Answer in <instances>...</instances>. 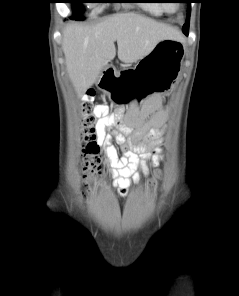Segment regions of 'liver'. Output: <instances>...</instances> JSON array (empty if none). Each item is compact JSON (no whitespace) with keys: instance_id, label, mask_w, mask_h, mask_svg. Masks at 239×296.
<instances>
[{"instance_id":"obj_1","label":"liver","mask_w":239,"mask_h":296,"mask_svg":"<svg viewBox=\"0 0 239 296\" xmlns=\"http://www.w3.org/2000/svg\"><path fill=\"white\" fill-rule=\"evenodd\" d=\"M182 38L169 25L143 15L117 13L93 26L70 23L63 30L66 70L78 96L96 83L102 69L116 56L124 63L137 62L164 39Z\"/></svg>"}]
</instances>
